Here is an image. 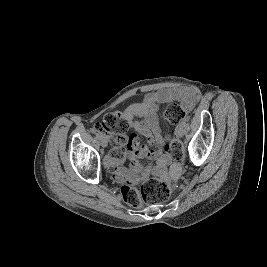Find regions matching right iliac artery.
Instances as JSON below:
<instances>
[{
  "instance_id": "82829eb1",
  "label": "right iliac artery",
  "mask_w": 267,
  "mask_h": 267,
  "mask_svg": "<svg viewBox=\"0 0 267 267\" xmlns=\"http://www.w3.org/2000/svg\"><path fill=\"white\" fill-rule=\"evenodd\" d=\"M96 137H97L98 139H101V138H102V135H100V134H96Z\"/></svg>"
}]
</instances>
